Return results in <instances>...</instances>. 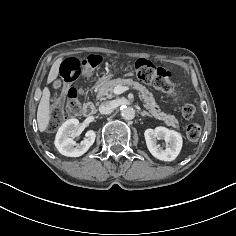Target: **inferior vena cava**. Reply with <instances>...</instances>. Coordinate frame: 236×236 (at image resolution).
Segmentation results:
<instances>
[{
	"mask_svg": "<svg viewBox=\"0 0 236 236\" xmlns=\"http://www.w3.org/2000/svg\"><path fill=\"white\" fill-rule=\"evenodd\" d=\"M114 109V106L112 104V102H103L100 106H99V112L101 114H110Z\"/></svg>",
	"mask_w": 236,
	"mask_h": 236,
	"instance_id": "602c4592",
	"label": "inferior vena cava"
}]
</instances>
